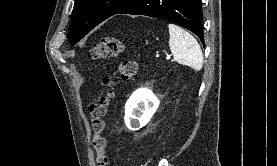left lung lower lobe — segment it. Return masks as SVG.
<instances>
[{
  "label": "left lung lower lobe",
  "mask_w": 277,
  "mask_h": 166,
  "mask_svg": "<svg viewBox=\"0 0 277 166\" xmlns=\"http://www.w3.org/2000/svg\"><path fill=\"white\" fill-rule=\"evenodd\" d=\"M119 13L168 20L192 31L204 44L200 0H133Z\"/></svg>",
  "instance_id": "obj_1"
}]
</instances>
